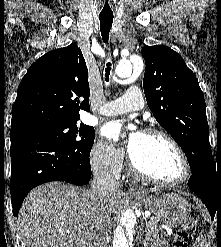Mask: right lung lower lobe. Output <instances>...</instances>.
Segmentation results:
<instances>
[{
  "label": "right lung lower lobe",
  "mask_w": 221,
  "mask_h": 247,
  "mask_svg": "<svg viewBox=\"0 0 221 247\" xmlns=\"http://www.w3.org/2000/svg\"><path fill=\"white\" fill-rule=\"evenodd\" d=\"M10 139V193L14 216L28 192L40 184L63 181L85 185L89 182V156L67 149L46 136L23 130L10 131Z\"/></svg>",
  "instance_id": "98d812e1"
}]
</instances>
